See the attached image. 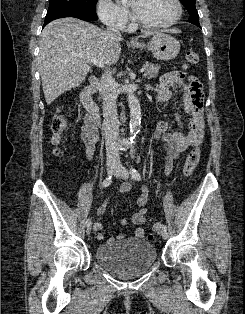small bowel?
Instances as JSON below:
<instances>
[{"instance_id": "obj_1", "label": "small bowel", "mask_w": 245, "mask_h": 314, "mask_svg": "<svg viewBox=\"0 0 245 314\" xmlns=\"http://www.w3.org/2000/svg\"><path fill=\"white\" fill-rule=\"evenodd\" d=\"M174 87H178L181 91L182 110L184 117L175 114V124L178 129L169 131L170 124L167 121H159L153 132V137L160 141L164 148L165 173L168 175L172 172L175 161L181 153L189 147L201 143L205 133V123L203 119V88L201 82L194 76H186L184 73L173 71L165 73L159 85L155 88L156 99L159 102L166 103L173 99ZM184 126L188 127V131H182ZM81 138L85 144L86 157L88 160L93 159L95 155L96 143L99 135L90 118L87 116L81 127ZM132 189V184L125 182L121 185L120 191L126 194ZM148 201V188L142 187V193L136 203L138 210L132 214L130 219H122L121 224L134 225L133 236L137 239L144 237L145 231L143 224L146 222V214ZM106 205L99 208V214H102ZM94 230L98 231L97 240L105 237V230L101 223H94ZM125 234H118L110 237L107 242H115L124 239Z\"/></svg>"}]
</instances>
